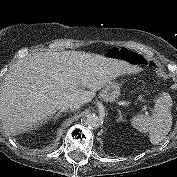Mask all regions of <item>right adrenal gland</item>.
I'll return each mask as SVG.
<instances>
[{"mask_svg":"<svg viewBox=\"0 0 177 177\" xmlns=\"http://www.w3.org/2000/svg\"><path fill=\"white\" fill-rule=\"evenodd\" d=\"M63 113V111H59L57 114H55L54 116H50L49 118H47V120H53L56 121L57 119H59L60 115ZM46 120V121H47ZM45 121V122H46Z\"/></svg>","mask_w":177,"mask_h":177,"instance_id":"right-adrenal-gland-1","label":"right adrenal gland"}]
</instances>
